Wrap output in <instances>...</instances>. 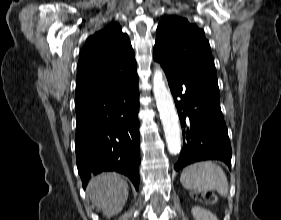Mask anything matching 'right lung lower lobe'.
<instances>
[{
    "label": "right lung lower lobe",
    "instance_id": "right-lung-lower-lobe-1",
    "mask_svg": "<svg viewBox=\"0 0 281 220\" xmlns=\"http://www.w3.org/2000/svg\"><path fill=\"white\" fill-rule=\"evenodd\" d=\"M76 108V161L83 187L92 175L116 171L139 189L138 79Z\"/></svg>",
    "mask_w": 281,
    "mask_h": 220
}]
</instances>
